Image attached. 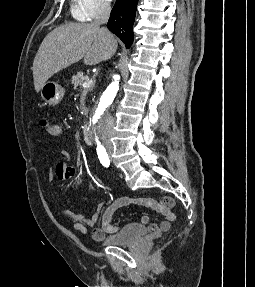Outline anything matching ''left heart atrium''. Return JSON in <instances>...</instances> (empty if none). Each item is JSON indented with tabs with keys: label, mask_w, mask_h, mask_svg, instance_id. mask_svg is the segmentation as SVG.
<instances>
[{
	"label": "left heart atrium",
	"mask_w": 255,
	"mask_h": 287,
	"mask_svg": "<svg viewBox=\"0 0 255 287\" xmlns=\"http://www.w3.org/2000/svg\"><path fill=\"white\" fill-rule=\"evenodd\" d=\"M75 33H89V32H75ZM93 33V32H90ZM73 39H91V38H73ZM74 48H89V47H74Z\"/></svg>",
	"instance_id": "obj_1"
}]
</instances>
